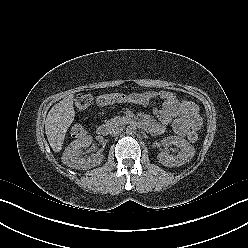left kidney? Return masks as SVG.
Returning <instances> with one entry per match:
<instances>
[{
	"label": "left kidney",
	"mask_w": 248,
	"mask_h": 248,
	"mask_svg": "<svg viewBox=\"0 0 248 248\" xmlns=\"http://www.w3.org/2000/svg\"><path fill=\"white\" fill-rule=\"evenodd\" d=\"M162 145H176L180 151L177 155H170L167 151H161L157 155V159L161 164L167 167H178L189 160L195 155V148L184 138L179 136H169L161 141Z\"/></svg>",
	"instance_id": "1"
}]
</instances>
